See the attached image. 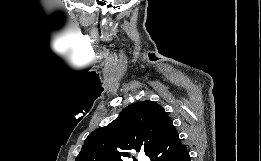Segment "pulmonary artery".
Segmentation results:
<instances>
[{"label":"pulmonary artery","mask_w":261,"mask_h":161,"mask_svg":"<svg viewBox=\"0 0 261 161\" xmlns=\"http://www.w3.org/2000/svg\"><path fill=\"white\" fill-rule=\"evenodd\" d=\"M138 161H150V160L148 157L141 155L138 157Z\"/></svg>","instance_id":"1"}]
</instances>
